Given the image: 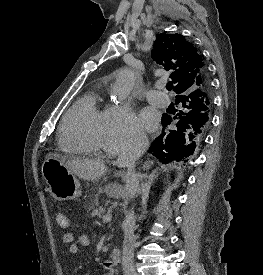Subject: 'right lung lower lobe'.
Instances as JSON below:
<instances>
[{
	"label": "right lung lower lobe",
	"mask_w": 263,
	"mask_h": 275,
	"mask_svg": "<svg viewBox=\"0 0 263 275\" xmlns=\"http://www.w3.org/2000/svg\"><path fill=\"white\" fill-rule=\"evenodd\" d=\"M203 76L208 79L206 70ZM205 93L201 89L192 95H180L176 97V104H182L178 113L174 117L163 114L162 125L166 127L174 122L175 127L163 130L148 150L163 164L192 155L202 142L210 123L200 105Z\"/></svg>",
	"instance_id": "obj_1"
}]
</instances>
